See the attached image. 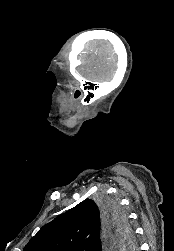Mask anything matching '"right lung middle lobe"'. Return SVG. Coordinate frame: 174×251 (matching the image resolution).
<instances>
[{
	"label": "right lung middle lobe",
	"mask_w": 174,
	"mask_h": 251,
	"mask_svg": "<svg viewBox=\"0 0 174 251\" xmlns=\"http://www.w3.org/2000/svg\"><path fill=\"white\" fill-rule=\"evenodd\" d=\"M96 204L108 223L114 227L115 233L121 237L120 248L128 251L133 250L136 246L134 233L120 203L107 195H101L96 199Z\"/></svg>",
	"instance_id": "obj_1"
}]
</instances>
